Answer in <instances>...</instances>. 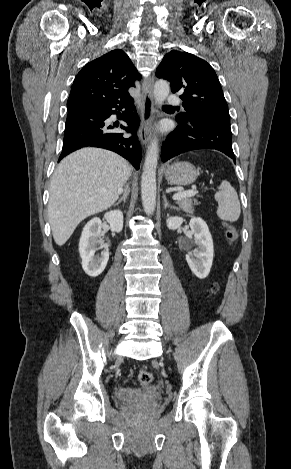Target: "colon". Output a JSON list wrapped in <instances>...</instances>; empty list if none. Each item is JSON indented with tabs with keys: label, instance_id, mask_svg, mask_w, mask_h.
Listing matches in <instances>:
<instances>
[{
	"label": "colon",
	"instance_id": "1",
	"mask_svg": "<svg viewBox=\"0 0 291 469\" xmlns=\"http://www.w3.org/2000/svg\"><path fill=\"white\" fill-rule=\"evenodd\" d=\"M224 226L226 228V238H227L228 244L232 245L237 240V237H238L237 231L235 227L229 223H225ZM216 290H217V286L213 285L212 291H216ZM136 380L138 384H140L141 386H147L152 383L153 375L151 372L147 370H141L137 373Z\"/></svg>",
	"mask_w": 291,
	"mask_h": 469
}]
</instances>
